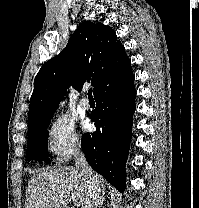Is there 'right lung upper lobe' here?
I'll return each mask as SVG.
<instances>
[{"instance_id": "right-lung-upper-lobe-1", "label": "right lung upper lobe", "mask_w": 199, "mask_h": 208, "mask_svg": "<svg viewBox=\"0 0 199 208\" xmlns=\"http://www.w3.org/2000/svg\"><path fill=\"white\" fill-rule=\"evenodd\" d=\"M131 74V61L115 31L102 23L82 22L65 49L47 61L35 77L28 131L51 120L70 85L81 91L91 82L96 96Z\"/></svg>"}]
</instances>
